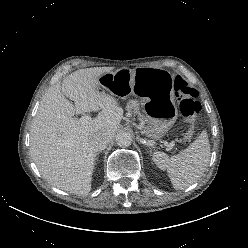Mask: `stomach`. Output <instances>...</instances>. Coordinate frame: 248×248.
<instances>
[{
	"mask_svg": "<svg viewBox=\"0 0 248 248\" xmlns=\"http://www.w3.org/2000/svg\"><path fill=\"white\" fill-rule=\"evenodd\" d=\"M173 75L162 68H121L99 77L100 88L125 98L131 94L143 100L147 120L140 123L141 134L159 140L176 122L178 109L172 98Z\"/></svg>",
	"mask_w": 248,
	"mask_h": 248,
	"instance_id": "obj_1",
	"label": "stomach"
}]
</instances>
